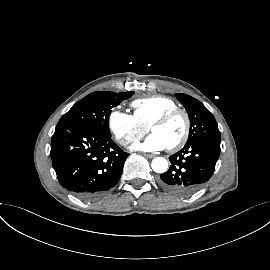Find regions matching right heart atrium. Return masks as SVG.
I'll use <instances>...</instances> for the list:
<instances>
[{"instance_id": "obj_1", "label": "right heart atrium", "mask_w": 270, "mask_h": 270, "mask_svg": "<svg viewBox=\"0 0 270 270\" xmlns=\"http://www.w3.org/2000/svg\"><path fill=\"white\" fill-rule=\"evenodd\" d=\"M108 128L116 141L124 147H129L147 131V127L143 126L134 114L121 109L111 111L108 116Z\"/></svg>"}]
</instances>
